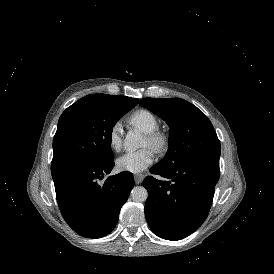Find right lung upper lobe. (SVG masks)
Listing matches in <instances>:
<instances>
[{"label": "right lung upper lobe", "instance_id": "cb5924a9", "mask_svg": "<svg viewBox=\"0 0 274 274\" xmlns=\"http://www.w3.org/2000/svg\"><path fill=\"white\" fill-rule=\"evenodd\" d=\"M105 96H109L107 94H91V95H87L81 99L83 100H92V99H97V98H101V97H105ZM136 101L138 102V100L136 99Z\"/></svg>", "mask_w": 274, "mask_h": 274}]
</instances>
